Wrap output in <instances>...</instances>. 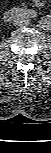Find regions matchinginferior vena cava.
<instances>
[{"mask_svg": "<svg viewBox=\"0 0 51 153\" xmlns=\"http://www.w3.org/2000/svg\"><path fill=\"white\" fill-rule=\"evenodd\" d=\"M28 24H29V18L25 15H18L13 20V25L18 28L27 26Z\"/></svg>", "mask_w": 51, "mask_h": 153, "instance_id": "obj_1", "label": "inferior vena cava"}]
</instances>
